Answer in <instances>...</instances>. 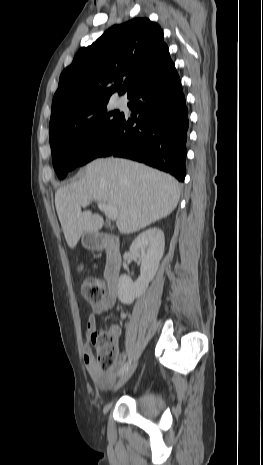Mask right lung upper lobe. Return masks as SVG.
<instances>
[{
    "label": "right lung upper lobe",
    "instance_id": "right-lung-upper-lobe-1",
    "mask_svg": "<svg viewBox=\"0 0 263 465\" xmlns=\"http://www.w3.org/2000/svg\"><path fill=\"white\" fill-rule=\"evenodd\" d=\"M173 66L159 25L147 18L114 25L81 48L61 73L50 123L115 94L129 97Z\"/></svg>",
    "mask_w": 263,
    "mask_h": 465
}]
</instances>
